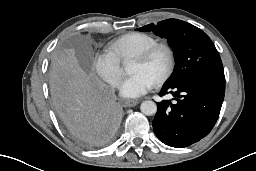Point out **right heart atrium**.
I'll return each mask as SVG.
<instances>
[{"label":"right heart atrium","instance_id":"d8ad5b80","mask_svg":"<svg viewBox=\"0 0 256 171\" xmlns=\"http://www.w3.org/2000/svg\"><path fill=\"white\" fill-rule=\"evenodd\" d=\"M94 71L110 86L116 87L121 79V62L110 51L96 53L92 58Z\"/></svg>","mask_w":256,"mask_h":171}]
</instances>
